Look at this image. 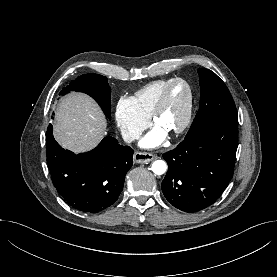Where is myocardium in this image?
<instances>
[{"label": "myocardium", "instance_id": "myocardium-1", "mask_svg": "<svg viewBox=\"0 0 277 277\" xmlns=\"http://www.w3.org/2000/svg\"><path fill=\"white\" fill-rule=\"evenodd\" d=\"M177 83H181V84L185 85V87L187 89V100H186V105H185L182 121L176 129H174L173 131L170 132V134L172 136H177V135L181 134L182 132H184L191 122L192 110H193V90L188 81H186L183 78H174L168 84H166V86L161 91V93L158 97V100L154 106V109L151 113V116H150L152 123L154 125H156L157 119L160 116V114L162 113V111L166 105L169 92H170L171 88Z\"/></svg>", "mask_w": 277, "mask_h": 277}]
</instances>
